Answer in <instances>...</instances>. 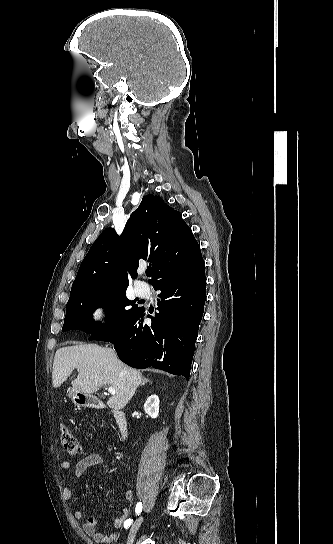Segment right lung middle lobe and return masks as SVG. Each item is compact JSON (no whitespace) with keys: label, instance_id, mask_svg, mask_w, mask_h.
I'll list each match as a JSON object with an SVG mask.
<instances>
[{"label":"right lung middle lobe","instance_id":"1","mask_svg":"<svg viewBox=\"0 0 333 544\" xmlns=\"http://www.w3.org/2000/svg\"><path fill=\"white\" fill-rule=\"evenodd\" d=\"M99 307L105 309V325L95 323L93 320V312ZM142 309L136 300L127 299L126 289L79 296L67 303L62 331L78 329L96 336L121 326Z\"/></svg>","mask_w":333,"mask_h":544}]
</instances>
